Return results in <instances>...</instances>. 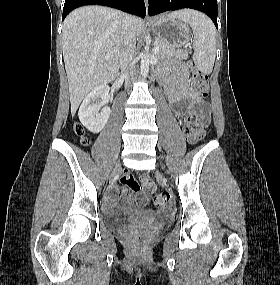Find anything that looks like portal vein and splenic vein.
Masks as SVG:
<instances>
[{"label":"portal vein and splenic vein","instance_id":"18ae733b","mask_svg":"<svg viewBox=\"0 0 280 285\" xmlns=\"http://www.w3.org/2000/svg\"><path fill=\"white\" fill-rule=\"evenodd\" d=\"M159 50H160L159 47H158V46H155V47L153 48V53L156 54V53L159 52ZM105 58H106V59H109L110 57H109V56H106Z\"/></svg>","mask_w":280,"mask_h":285}]
</instances>
